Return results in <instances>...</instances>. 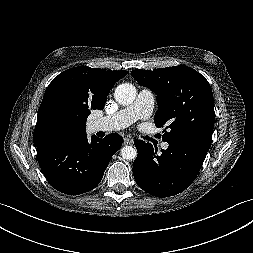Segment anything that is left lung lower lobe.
<instances>
[{"label": "left lung lower lobe", "instance_id": "obj_1", "mask_svg": "<svg viewBox=\"0 0 253 253\" xmlns=\"http://www.w3.org/2000/svg\"><path fill=\"white\" fill-rule=\"evenodd\" d=\"M138 151L133 174L140 188L157 197L176 195L196 178L211 141L194 138L169 143L166 150L157 153L150 143L134 141Z\"/></svg>", "mask_w": 253, "mask_h": 253}]
</instances>
